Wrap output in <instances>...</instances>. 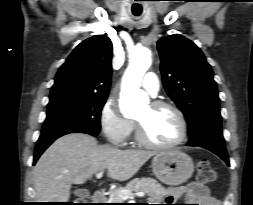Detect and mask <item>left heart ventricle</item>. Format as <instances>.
Returning <instances> with one entry per match:
<instances>
[{
  "instance_id": "obj_1",
  "label": "left heart ventricle",
  "mask_w": 253,
  "mask_h": 205,
  "mask_svg": "<svg viewBox=\"0 0 253 205\" xmlns=\"http://www.w3.org/2000/svg\"><path fill=\"white\" fill-rule=\"evenodd\" d=\"M146 137L156 144H170L180 136V123L176 114L167 108L145 107L136 117Z\"/></svg>"
}]
</instances>
